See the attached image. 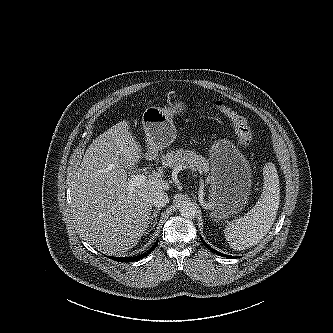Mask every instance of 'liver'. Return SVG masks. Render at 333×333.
<instances>
[{
  "label": "liver",
  "mask_w": 333,
  "mask_h": 333,
  "mask_svg": "<svg viewBox=\"0 0 333 333\" xmlns=\"http://www.w3.org/2000/svg\"><path fill=\"white\" fill-rule=\"evenodd\" d=\"M141 154L128 122L122 121L90 144L77 170L72 191L76 228L104 254L117 256L133 248L148 227L153 195L170 188L155 175L132 186L126 169Z\"/></svg>",
  "instance_id": "liver-1"
}]
</instances>
